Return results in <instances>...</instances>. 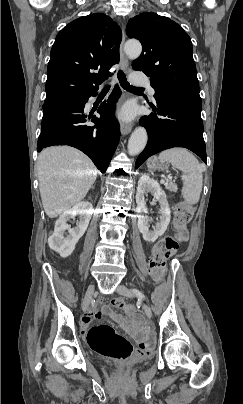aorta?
<instances>
[{"mask_svg":"<svg viewBox=\"0 0 243 404\" xmlns=\"http://www.w3.org/2000/svg\"><path fill=\"white\" fill-rule=\"evenodd\" d=\"M124 52L129 60H136L142 52V46L138 40H127L124 44ZM148 140L145 128H136L128 140L129 156H138L143 152Z\"/></svg>","mask_w":243,"mask_h":404,"instance_id":"aorta-1","label":"aorta"}]
</instances>
